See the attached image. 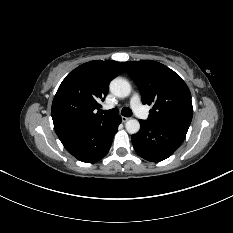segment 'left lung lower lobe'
<instances>
[{"mask_svg": "<svg viewBox=\"0 0 233 233\" xmlns=\"http://www.w3.org/2000/svg\"><path fill=\"white\" fill-rule=\"evenodd\" d=\"M140 124L141 130L132 136V144L139 156L151 162H159L171 156L186 137V133L148 120H140Z\"/></svg>", "mask_w": 233, "mask_h": 233, "instance_id": "left-lung-lower-lobe-1", "label": "left lung lower lobe"}]
</instances>
